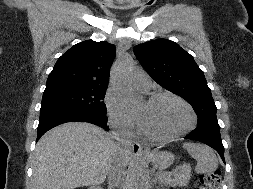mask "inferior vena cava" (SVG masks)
Segmentation results:
<instances>
[{"label":"inferior vena cava","instance_id":"1","mask_svg":"<svg viewBox=\"0 0 253 189\" xmlns=\"http://www.w3.org/2000/svg\"><path fill=\"white\" fill-rule=\"evenodd\" d=\"M114 130L112 134L117 141L119 149L114 153V159L116 161L113 162L109 171H108V182L109 189H114L117 186H120L124 175H125V162H123L124 158L127 156V153L130 152L131 149V139L130 136L116 127H113Z\"/></svg>","mask_w":253,"mask_h":189}]
</instances>
